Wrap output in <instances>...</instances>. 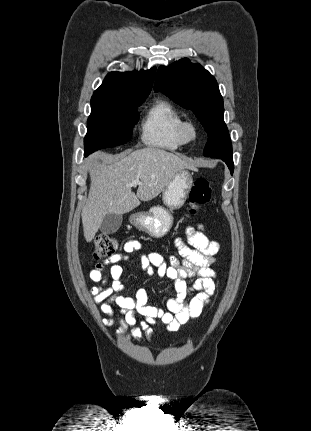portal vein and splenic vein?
Masks as SVG:
<instances>
[{"label":"portal vein and splenic vein","mask_w":311,"mask_h":431,"mask_svg":"<svg viewBox=\"0 0 311 431\" xmlns=\"http://www.w3.org/2000/svg\"><path fill=\"white\" fill-rule=\"evenodd\" d=\"M140 184H143V182H140V180H133L132 184H127V186H133V188H135V186H140Z\"/></svg>","instance_id":"18ae733b"}]
</instances>
